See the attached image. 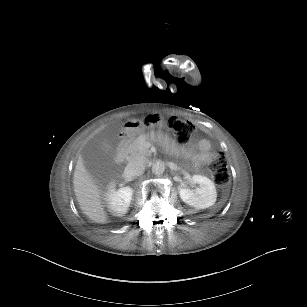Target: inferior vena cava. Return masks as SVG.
<instances>
[{
  "label": "inferior vena cava",
  "mask_w": 307,
  "mask_h": 307,
  "mask_svg": "<svg viewBox=\"0 0 307 307\" xmlns=\"http://www.w3.org/2000/svg\"><path fill=\"white\" fill-rule=\"evenodd\" d=\"M145 170V160L140 157H134L131 159L126 168H125V174L128 176H141L144 173Z\"/></svg>",
  "instance_id": "obj_1"
}]
</instances>
